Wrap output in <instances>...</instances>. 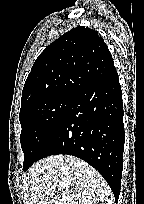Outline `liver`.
Wrapping results in <instances>:
<instances>
[{"label":"liver","mask_w":144,"mask_h":204,"mask_svg":"<svg viewBox=\"0 0 144 204\" xmlns=\"http://www.w3.org/2000/svg\"><path fill=\"white\" fill-rule=\"evenodd\" d=\"M22 184L24 204H113V193L98 171L70 155L36 162Z\"/></svg>","instance_id":"1"}]
</instances>
